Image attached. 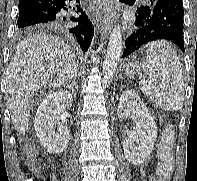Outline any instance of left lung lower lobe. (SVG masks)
<instances>
[{
  "instance_id": "left-lung-lower-lobe-1",
  "label": "left lung lower lobe",
  "mask_w": 197,
  "mask_h": 181,
  "mask_svg": "<svg viewBox=\"0 0 197 181\" xmlns=\"http://www.w3.org/2000/svg\"><path fill=\"white\" fill-rule=\"evenodd\" d=\"M184 9L181 0H158L146 18H136L126 39L123 58L155 40H169L184 52Z\"/></svg>"
}]
</instances>
